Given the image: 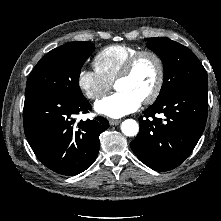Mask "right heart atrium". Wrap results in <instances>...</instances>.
I'll return each instance as SVG.
<instances>
[{
  "mask_svg": "<svg viewBox=\"0 0 221 221\" xmlns=\"http://www.w3.org/2000/svg\"><path fill=\"white\" fill-rule=\"evenodd\" d=\"M77 86L86 98L97 101L111 89L112 83L96 70L82 68L77 76Z\"/></svg>",
  "mask_w": 221,
  "mask_h": 221,
  "instance_id": "1",
  "label": "right heart atrium"
}]
</instances>
